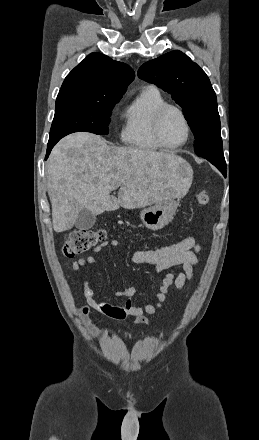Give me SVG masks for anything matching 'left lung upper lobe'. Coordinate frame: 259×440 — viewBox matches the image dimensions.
<instances>
[{"mask_svg": "<svg viewBox=\"0 0 259 440\" xmlns=\"http://www.w3.org/2000/svg\"><path fill=\"white\" fill-rule=\"evenodd\" d=\"M138 76L170 93L182 107L198 156L209 161L224 159L216 94L196 63L175 50L144 63Z\"/></svg>", "mask_w": 259, "mask_h": 440, "instance_id": "5c2ea615", "label": "left lung upper lobe"}]
</instances>
